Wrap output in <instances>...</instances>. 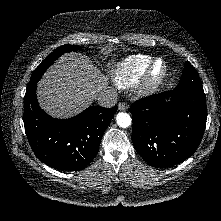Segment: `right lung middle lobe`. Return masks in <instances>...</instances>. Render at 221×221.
Segmentation results:
<instances>
[{
	"mask_svg": "<svg viewBox=\"0 0 221 221\" xmlns=\"http://www.w3.org/2000/svg\"><path fill=\"white\" fill-rule=\"evenodd\" d=\"M76 50H80V48L76 47L75 45L72 46L70 44H65L63 46H60L58 48H56L50 55H48L45 60H43L41 62V64L34 70L30 81L28 83V87L36 84L41 76L43 75V73L46 71V69L53 64V62L55 60L58 59V57H60L62 54L68 52V51H76Z\"/></svg>",
	"mask_w": 221,
	"mask_h": 221,
	"instance_id": "dd1d6c3e",
	"label": "right lung middle lobe"
}]
</instances>
